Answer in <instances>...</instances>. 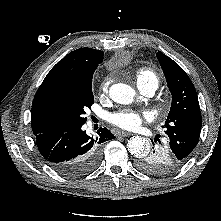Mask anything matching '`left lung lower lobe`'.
<instances>
[{"label":"left lung lower lobe","instance_id":"obj_1","mask_svg":"<svg viewBox=\"0 0 221 221\" xmlns=\"http://www.w3.org/2000/svg\"><path fill=\"white\" fill-rule=\"evenodd\" d=\"M158 141V143H157ZM152 150L137 161V167L149 174L165 176L179 170L185 162L171 150L168 142H161L158 138L154 140Z\"/></svg>","mask_w":221,"mask_h":221}]
</instances>
